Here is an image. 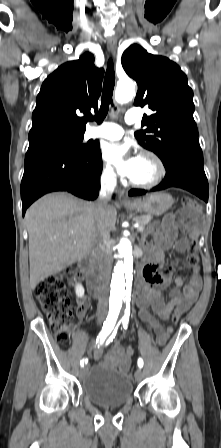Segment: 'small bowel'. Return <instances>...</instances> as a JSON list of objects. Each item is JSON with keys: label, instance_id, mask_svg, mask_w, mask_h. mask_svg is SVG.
I'll list each match as a JSON object with an SVG mask.
<instances>
[{"label": "small bowel", "instance_id": "obj_1", "mask_svg": "<svg viewBox=\"0 0 221 448\" xmlns=\"http://www.w3.org/2000/svg\"><path fill=\"white\" fill-rule=\"evenodd\" d=\"M179 232H181V236H179ZM197 237L198 229L196 225L188 224L180 229L174 216L168 215L145 245L148 263L142 271V281L137 286V306L141 319L154 333L157 343L161 346L167 342L173 331L170 325L172 317L177 315L180 318L187 312L202 287L199 266H192L185 260H174L172 269L160 271L163 252L175 247L178 252L184 253L190 242L196 240ZM178 268L190 271L189 281L185 283L180 275L174 276L175 288L169 293V302H165L162 291L170 283L171 273ZM77 304L76 314L82 318L90 306V300L86 296L80 297ZM149 309L166 323L165 327H162L159 321L150 314ZM133 353L132 347H125L122 343L117 342L105 355H103L101 349H98L93 355V360L100 361L104 358L119 371L126 373L130 368Z\"/></svg>", "mask_w": 221, "mask_h": 448}]
</instances>
